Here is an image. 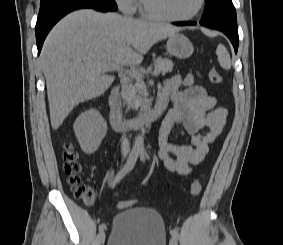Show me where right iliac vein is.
Segmentation results:
<instances>
[{
    "label": "right iliac vein",
    "instance_id": "1",
    "mask_svg": "<svg viewBox=\"0 0 283 245\" xmlns=\"http://www.w3.org/2000/svg\"><path fill=\"white\" fill-rule=\"evenodd\" d=\"M105 238H106L105 232H104V230H101L100 233H99V241H100L101 244H104Z\"/></svg>",
    "mask_w": 283,
    "mask_h": 245
}]
</instances>
